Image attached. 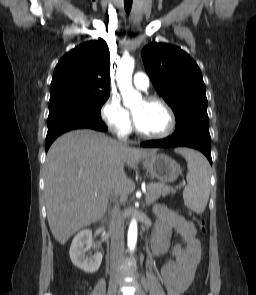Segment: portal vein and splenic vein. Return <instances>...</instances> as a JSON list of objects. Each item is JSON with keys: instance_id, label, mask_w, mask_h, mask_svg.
<instances>
[{"instance_id": "18ae733b", "label": "portal vein and splenic vein", "mask_w": 256, "mask_h": 295, "mask_svg": "<svg viewBox=\"0 0 256 295\" xmlns=\"http://www.w3.org/2000/svg\"><path fill=\"white\" fill-rule=\"evenodd\" d=\"M146 203H147V204H150V203H151V201H150L149 198L147 199Z\"/></svg>"}]
</instances>
